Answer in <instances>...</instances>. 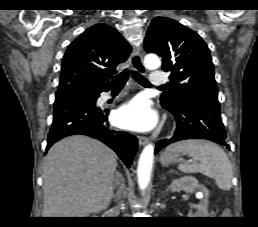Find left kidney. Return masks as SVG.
<instances>
[{
	"mask_svg": "<svg viewBox=\"0 0 258 227\" xmlns=\"http://www.w3.org/2000/svg\"><path fill=\"white\" fill-rule=\"evenodd\" d=\"M168 189L172 192L185 191L187 193H195L197 198L201 201L193 205L196 209L192 217H207L208 216V190L205 186L200 185L198 180L192 176H183L178 179L172 180Z\"/></svg>",
	"mask_w": 258,
	"mask_h": 227,
	"instance_id": "obj_1",
	"label": "left kidney"
}]
</instances>
